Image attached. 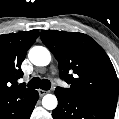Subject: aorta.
Listing matches in <instances>:
<instances>
[{"mask_svg": "<svg viewBox=\"0 0 119 119\" xmlns=\"http://www.w3.org/2000/svg\"><path fill=\"white\" fill-rule=\"evenodd\" d=\"M29 60L36 66H47L51 61L49 50L43 46H34L28 54ZM58 101L55 95L47 94L42 99V105L47 110L57 107Z\"/></svg>", "mask_w": 119, "mask_h": 119, "instance_id": "aorta-1", "label": "aorta"}]
</instances>
